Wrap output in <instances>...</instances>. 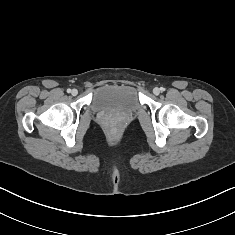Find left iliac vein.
<instances>
[{"label": "left iliac vein", "mask_w": 235, "mask_h": 235, "mask_svg": "<svg viewBox=\"0 0 235 235\" xmlns=\"http://www.w3.org/2000/svg\"><path fill=\"white\" fill-rule=\"evenodd\" d=\"M153 93H154L155 95H159V94H160V89H159L158 87H155V88L153 89Z\"/></svg>", "instance_id": "4c4485c4"}]
</instances>
